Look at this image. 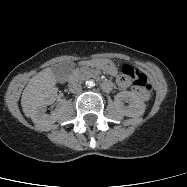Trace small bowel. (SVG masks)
Returning a JSON list of instances; mask_svg holds the SVG:
<instances>
[{"mask_svg": "<svg viewBox=\"0 0 187 187\" xmlns=\"http://www.w3.org/2000/svg\"><path fill=\"white\" fill-rule=\"evenodd\" d=\"M117 84L119 87L125 89L131 86V80L121 76L118 78ZM133 91L139 96H141L140 92L135 87H133Z\"/></svg>", "mask_w": 187, "mask_h": 187, "instance_id": "1", "label": "small bowel"}]
</instances>
